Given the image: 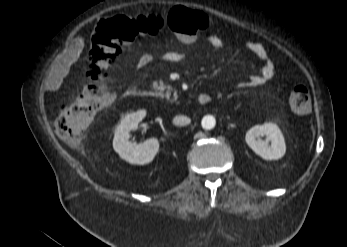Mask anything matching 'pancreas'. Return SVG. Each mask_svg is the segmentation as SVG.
Returning a JSON list of instances; mask_svg holds the SVG:
<instances>
[{"label": "pancreas", "instance_id": "pancreas-1", "mask_svg": "<svg viewBox=\"0 0 347 247\" xmlns=\"http://www.w3.org/2000/svg\"><path fill=\"white\" fill-rule=\"evenodd\" d=\"M153 88L158 90L157 95L160 96L161 98H167L168 100L171 97V90L172 88L170 86L165 85L162 81L158 82H154L153 83ZM166 90V92L164 93V91ZM177 99L176 94L173 95V101H175Z\"/></svg>", "mask_w": 347, "mask_h": 247}]
</instances>
